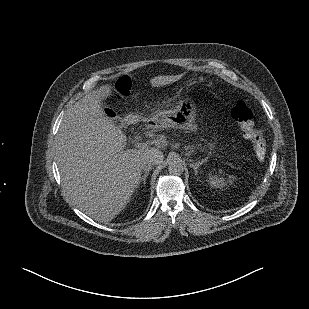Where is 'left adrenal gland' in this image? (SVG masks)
<instances>
[{"label": "left adrenal gland", "instance_id": "1", "mask_svg": "<svg viewBox=\"0 0 309 309\" xmlns=\"http://www.w3.org/2000/svg\"><path fill=\"white\" fill-rule=\"evenodd\" d=\"M203 161L198 162V163H191V167L194 169L195 175L198 174V169L202 165Z\"/></svg>", "mask_w": 309, "mask_h": 309}]
</instances>
